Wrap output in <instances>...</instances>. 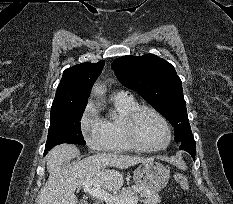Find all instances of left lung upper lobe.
<instances>
[{
	"instance_id": "1",
	"label": "left lung upper lobe",
	"mask_w": 233,
	"mask_h": 204,
	"mask_svg": "<svg viewBox=\"0 0 233 204\" xmlns=\"http://www.w3.org/2000/svg\"><path fill=\"white\" fill-rule=\"evenodd\" d=\"M116 77L138 92L174 127V140L180 148H196L188 123L182 82L173 65L154 55L123 56L112 63Z\"/></svg>"
}]
</instances>
